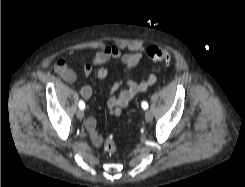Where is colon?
Instances as JSON below:
<instances>
[{
    "label": "colon",
    "instance_id": "1",
    "mask_svg": "<svg viewBox=\"0 0 245 187\" xmlns=\"http://www.w3.org/2000/svg\"><path fill=\"white\" fill-rule=\"evenodd\" d=\"M146 54L149 60L160 65H168L171 62L170 52L158 46L148 47ZM103 151L108 155H112L117 151L116 143L112 138H107L105 140Z\"/></svg>",
    "mask_w": 245,
    "mask_h": 187
}]
</instances>
